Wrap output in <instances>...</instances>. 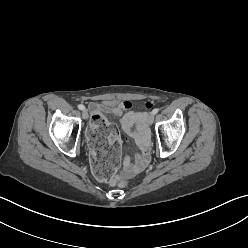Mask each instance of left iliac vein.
Listing matches in <instances>:
<instances>
[{"label":"left iliac vein","mask_w":248,"mask_h":248,"mask_svg":"<svg viewBox=\"0 0 248 248\" xmlns=\"http://www.w3.org/2000/svg\"><path fill=\"white\" fill-rule=\"evenodd\" d=\"M154 122V115L151 113L147 118V123L151 125Z\"/></svg>","instance_id":"obj_1"}]
</instances>
